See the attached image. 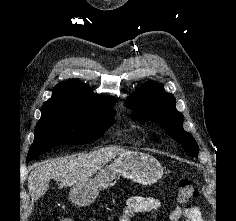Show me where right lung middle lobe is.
<instances>
[{
	"mask_svg": "<svg viewBox=\"0 0 236 221\" xmlns=\"http://www.w3.org/2000/svg\"><path fill=\"white\" fill-rule=\"evenodd\" d=\"M41 112L27 160L58 145H83L96 140L113 124L115 116L113 105L93 109L42 106Z\"/></svg>",
	"mask_w": 236,
	"mask_h": 221,
	"instance_id": "dd1d6c3e",
	"label": "right lung middle lobe"
}]
</instances>
